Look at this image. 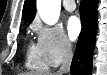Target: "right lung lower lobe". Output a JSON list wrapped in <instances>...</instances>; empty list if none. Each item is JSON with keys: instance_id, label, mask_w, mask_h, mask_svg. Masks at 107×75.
<instances>
[{"instance_id": "1", "label": "right lung lower lobe", "mask_w": 107, "mask_h": 75, "mask_svg": "<svg viewBox=\"0 0 107 75\" xmlns=\"http://www.w3.org/2000/svg\"><path fill=\"white\" fill-rule=\"evenodd\" d=\"M80 5L82 30L79 35L70 72L71 75H91L97 32L98 0H82Z\"/></svg>"}]
</instances>
